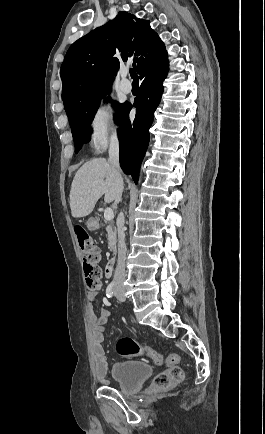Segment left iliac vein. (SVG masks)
Instances as JSON below:
<instances>
[{
  "label": "left iliac vein",
  "instance_id": "obj_1",
  "mask_svg": "<svg viewBox=\"0 0 265 434\" xmlns=\"http://www.w3.org/2000/svg\"><path fill=\"white\" fill-rule=\"evenodd\" d=\"M115 296L119 301H125L124 291L122 290L121 287H117L115 289Z\"/></svg>",
  "mask_w": 265,
  "mask_h": 434
}]
</instances>
